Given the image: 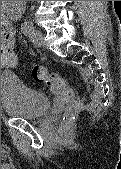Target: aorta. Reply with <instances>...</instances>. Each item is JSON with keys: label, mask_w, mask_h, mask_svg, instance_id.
Returning <instances> with one entry per match:
<instances>
[{"label": "aorta", "mask_w": 121, "mask_h": 169, "mask_svg": "<svg viewBox=\"0 0 121 169\" xmlns=\"http://www.w3.org/2000/svg\"><path fill=\"white\" fill-rule=\"evenodd\" d=\"M25 3V1H1V9L6 12L21 13Z\"/></svg>", "instance_id": "762f6f07"}]
</instances>
